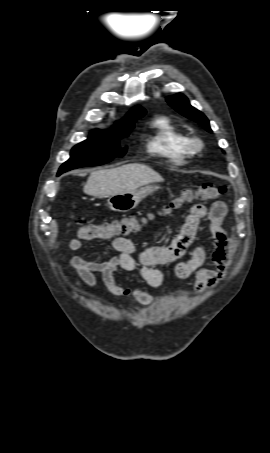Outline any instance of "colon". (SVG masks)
<instances>
[{"label":"colon","instance_id":"colon-1","mask_svg":"<svg viewBox=\"0 0 270 453\" xmlns=\"http://www.w3.org/2000/svg\"><path fill=\"white\" fill-rule=\"evenodd\" d=\"M225 193V187L215 184H203L193 188H184L173 197L164 211L169 212L180 208L183 204L199 199L204 201L215 200ZM144 223L143 218L136 215H127L119 220L103 224H86L80 222L79 235L84 238L100 237L110 239L115 236L128 235L140 229Z\"/></svg>","mask_w":270,"mask_h":453}]
</instances>
